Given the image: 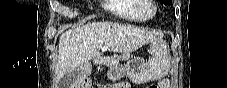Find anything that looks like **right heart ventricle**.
<instances>
[{"instance_id":"obj_1","label":"right heart ventricle","mask_w":227,"mask_h":88,"mask_svg":"<svg viewBox=\"0 0 227 88\" xmlns=\"http://www.w3.org/2000/svg\"><path fill=\"white\" fill-rule=\"evenodd\" d=\"M138 0H104V8L114 16L129 20L142 21L137 12Z\"/></svg>"}]
</instances>
